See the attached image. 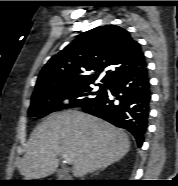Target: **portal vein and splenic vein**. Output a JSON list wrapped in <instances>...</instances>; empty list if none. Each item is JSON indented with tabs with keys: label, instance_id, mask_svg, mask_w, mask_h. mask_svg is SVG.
<instances>
[{
	"label": "portal vein and splenic vein",
	"instance_id": "1",
	"mask_svg": "<svg viewBox=\"0 0 178 186\" xmlns=\"http://www.w3.org/2000/svg\"><path fill=\"white\" fill-rule=\"evenodd\" d=\"M62 158H64V162L67 164H71L72 163V159L71 157L67 156V155H62Z\"/></svg>",
	"mask_w": 178,
	"mask_h": 186
}]
</instances>
